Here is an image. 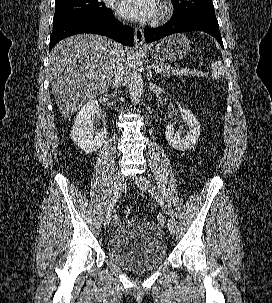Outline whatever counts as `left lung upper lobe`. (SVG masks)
I'll return each mask as SVG.
<instances>
[{
  "label": "left lung upper lobe",
  "mask_w": 272,
  "mask_h": 303,
  "mask_svg": "<svg viewBox=\"0 0 272 303\" xmlns=\"http://www.w3.org/2000/svg\"><path fill=\"white\" fill-rule=\"evenodd\" d=\"M175 6L172 18L190 15L215 14L212 0H172Z\"/></svg>",
  "instance_id": "obj_1"
}]
</instances>
